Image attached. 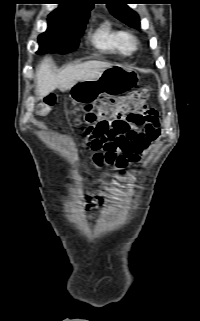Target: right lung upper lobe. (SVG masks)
Masks as SVG:
<instances>
[{"mask_svg":"<svg viewBox=\"0 0 200 321\" xmlns=\"http://www.w3.org/2000/svg\"><path fill=\"white\" fill-rule=\"evenodd\" d=\"M70 2L72 5L68 6L65 3L55 9L50 16L53 17H67L72 15H82L90 13L93 7L92 0H64ZM67 3V2H66Z\"/></svg>","mask_w":200,"mask_h":321,"instance_id":"right-lung-upper-lobe-1","label":"right lung upper lobe"}]
</instances>
